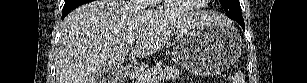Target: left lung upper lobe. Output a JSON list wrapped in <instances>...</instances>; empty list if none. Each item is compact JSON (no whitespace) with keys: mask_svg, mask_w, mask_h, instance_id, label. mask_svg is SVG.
Masks as SVG:
<instances>
[{"mask_svg":"<svg viewBox=\"0 0 307 83\" xmlns=\"http://www.w3.org/2000/svg\"><path fill=\"white\" fill-rule=\"evenodd\" d=\"M219 2L229 18L234 19L237 22H244L241 17L239 0H219Z\"/></svg>","mask_w":307,"mask_h":83,"instance_id":"left-lung-upper-lobe-1","label":"left lung upper lobe"}]
</instances>
